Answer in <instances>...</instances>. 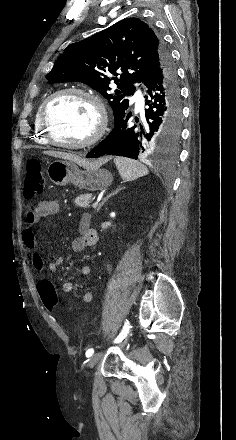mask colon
Here are the masks:
<instances>
[{"mask_svg": "<svg viewBox=\"0 0 236 440\" xmlns=\"http://www.w3.org/2000/svg\"><path fill=\"white\" fill-rule=\"evenodd\" d=\"M45 188V176L42 163L37 159H31L26 167L24 191L27 197L32 198L41 194ZM38 291L44 306L54 310L58 304V296L52 283L48 280L38 282Z\"/></svg>", "mask_w": 236, "mask_h": 440, "instance_id": "colon-1", "label": "colon"}]
</instances>
